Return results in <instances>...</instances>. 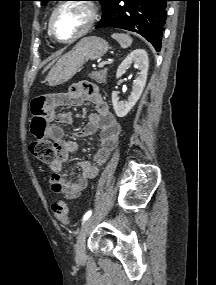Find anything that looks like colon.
Here are the masks:
<instances>
[{"instance_id": "colon-1", "label": "colon", "mask_w": 216, "mask_h": 285, "mask_svg": "<svg viewBox=\"0 0 216 285\" xmlns=\"http://www.w3.org/2000/svg\"><path fill=\"white\" fill-rule=\"evenodd\" d=\"M30 152L38 160L50 163L55 158V149L51 141H41V136H36L29 144ZM52 211L55 218L64 225L69 224V207L64 201H56L52 204Z\"/></svg>"}]
</instances>
